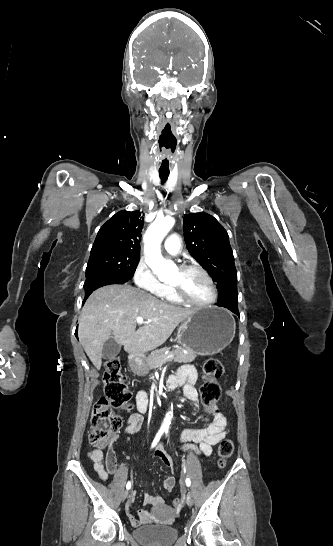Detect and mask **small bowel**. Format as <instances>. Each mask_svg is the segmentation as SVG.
<instances>
[{
  "mask_svg": "<svg viewBox=\"0 0 333 546\" xmlns=\"http://www.w3.org/2000/svg\"><path fill=\"white\" fill-rule=\"evenodd\" d=\"M197 377L195 367L192 365H185L179 368L176 374L172 375L170 378L177 386H183L184 395L188 400L195 402L197 400L195 388ZM136 407L138 413L131 414L127 420L125 434L129 436L136 434L141 429L143 414H145L149 408V396L145 390H140L136 394ZM213 408L215 414L209 425L203 428L185 429L180 434L179 441L182 445V449L204 456H210L213 447L227 435L228 427L226 417L218 411L215 405H213ZM105 452V462H103V447H96L89 453L95 471L104 481H106L109 476L117 475L119 471L114 449L107 448ZM154 457L172 471L175 469V464L163 445L158 446L154 452ZM175 485L176 480L174 476H168L164 480V488L168 492L172 491ZM134 500L135 493L131 492L125 503V512L131 524L135 527L151 523H169L174 515L173 509L165 504V501L161 496L148 493L144 494L143 501L146 505L151 506L152 510L139 509L135 514L133 513Z\"/></svg>",
  "mask_w": 333,
  "mask_h": 546,
  "instance_id": "1",
  "label": "small bowel"
}]
</instances>
